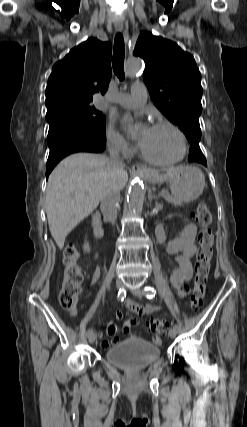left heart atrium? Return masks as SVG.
I'll return each instance as SVG.
<instances>
[{
  "label": "left heart atrium",
  "mask_w": 247,
  "mask_h": 427,
  "mask_svg": "<svg viewBox=\"0 0 247 427\" xmlns=\"http://www.w3.org/2000/svg\"><path fill=\"white\" fill-rule=\"evenodd\" d=\"M149 129L150 128H148V127H144L143 129H142V137L139 139V142H140V144H141V141H142V138L146 135V133L149 131Z\"/></svg>",
  "instance_id": "1"
}]
</instances>
